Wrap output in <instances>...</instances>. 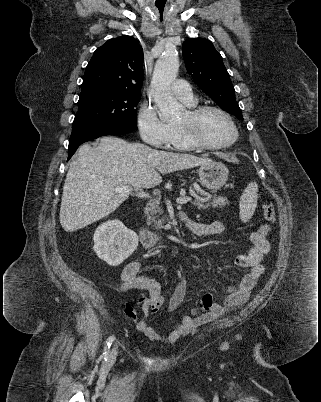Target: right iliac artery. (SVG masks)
<instances>
[{
	"label": "right iliac artery",
	"instance_id": "82829eb1",
	"mask_svg": "<svg viewBox=\"0 0 321 402\" xmlns=\"http://www.w3.org/2000/svg\"><path fill=\"white\" fill-rule=\"evenodd\" d=\"M115 337L114 336H110L105 343V347H104V351H103V358L104 360H107L108 358V353H109V349L110 346L112 345L113 341H114Z\"/></svg>",
	"mask_w": 321,
	"mask_h": 402
}]
</instances>
